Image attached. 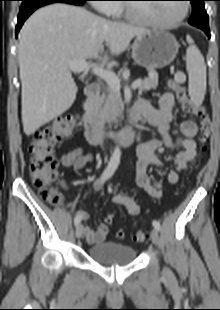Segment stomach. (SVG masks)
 I'll use <instances>...</instances> for the list:
<instances>
[{
  "mask_svg": "<svg viewBox=\"0 0 220 310\" xmlns=\"http://www.w3.org/2000/svg\"><path fill=\"white\" fill-rule=\"evenodd\" d=\"M179 49L176 38L163 30H152L140 34L132 45L134 61L149 70L170 65Z\"/></svg>",
  "mask_w": 220,
  "mask_h": 310,
  "instance_id": "stomach-1",
  "label": "stomach"
}]
</instances>
